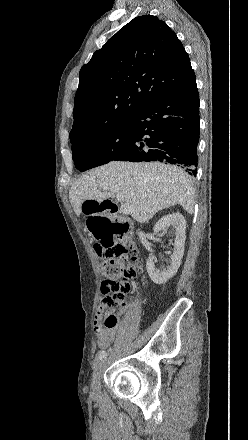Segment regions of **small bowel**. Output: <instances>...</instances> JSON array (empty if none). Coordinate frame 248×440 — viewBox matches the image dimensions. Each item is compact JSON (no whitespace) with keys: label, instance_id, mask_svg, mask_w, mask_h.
<instances>
[{"label":"small bowel","instance_id":"1","mask_svg":"<svg viewBox=\"0 0 248 440\" xmlns=\"http://www.w3.org/2000/svg\"><path fill=\"white\" fill-rule=\"evenodd\" d=\"M105 312L106 315L109 313L114 314L113 309L106 310L98 307L93 322L94 331L97 336V346L101 350H104L111 345V343L115 339L118 330L117 326L107 327L106 325H103L102 317Z\"/></svg>","mask_w":248,"mask_h":440}]
</instances>
